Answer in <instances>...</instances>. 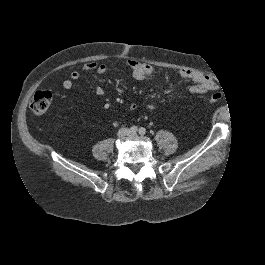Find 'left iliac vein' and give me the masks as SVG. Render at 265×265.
<instances>
[{
	"label": "left iliac vein",
	"mask_w": 265,
	"mask_h": 265,
	"mask_svg": "<svg viewBox=\"0 0 265 265\" xmlns=\"http://www.w3.org/2000/svg\"><path fill=\"white\" fill-rule=\"evenodd\" d=\"M129 136L135 138V137H137V133H136V132H135V133H132V132H131V133L129 134Z\"/></svg>",
	"instance_id": "obj_1"
}]
</instances>
